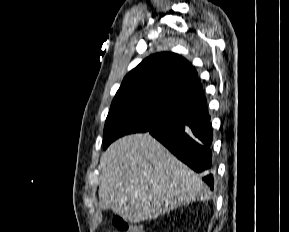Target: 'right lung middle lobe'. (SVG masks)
<instances>
[{
  "label": "right lung middle lobe",
  "instance_id": "1",
  "mask_svg": "<svg viewBox=\"0 0 289 232\" xmlns=\"http://www.w3.org/2000/svg\"><path fill=\"white\" fill-rule=\"evenodd\" d=\"M182 112L147 99L114 98L105 122L103 148L123 135L147 132L170 122Z\"/></svg>",
  "mask_w": 289,
  "mask_h": 232
}]
</instances>
